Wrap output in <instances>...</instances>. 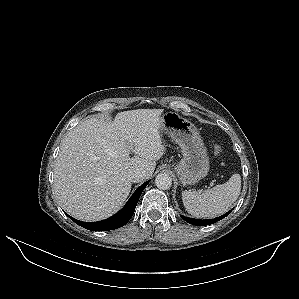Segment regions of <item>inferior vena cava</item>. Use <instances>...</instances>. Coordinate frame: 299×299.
<instances>
[{"mask_svg": "<svg viewBox=\"0 0 299 299\" xmlns=\"http://www.w3.org/2000/svg\"><path fill=\"white\" fill-rule=\"evenodd\" d=\"M145 173L142 169H136L129 174V178L132 182H141L144 180Z\"/></svg>", "mask_w": 299, "mask_h": 299, "instance_id": "602c4592", "label": "inferior vena cava"}]
</instances>
